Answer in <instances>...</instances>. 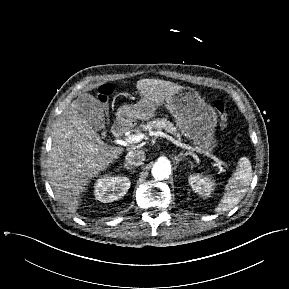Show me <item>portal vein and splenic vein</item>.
I'll use <instances>...</instances> for the list:
<instances>
[{
  "label": "portal vein and splenic vein",
  "instance_id": "1",
  "mask_svg": "<svg viewBox=\"0 0 289 289\" xmlns=\"http://www.w3.org/2000/svg\"><path fill=\"white\" fill-rule=\"evenodd\" d=\"M151 135H155V136H160V137H163V138H166L167 140L171 141L173 144H175L177 147H181L183 149H186V150H189V153L190 155H192L193 157H197V155L194 153V148H192L191 146H188L184 143H181L180 141L178 140H175L172 136L164 133V132H161V131H155V132H150ZM143 139V136L142 135H130L128 136L124 142L126 143H138L140 142L141 140ZM206 156L207 157H210L213 161H215L218 165L220 166H224L225 168H228V165L227 163H225L224 161H222L221 159H219L218 157H216L215 155L213 154H209V153H206Z\"/></svg>",
  "mask_w": 289,
  "mask_h": 289
}]
</instances>
